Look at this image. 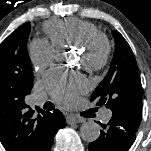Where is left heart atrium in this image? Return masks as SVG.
Wrapping results in <instances>:
<instances>
[{
    "instance_id": "1",
    "label": "left heart atrium",
    "mask_w": 151,
    "mask_h": 151,
    "mask_svg": "<svg viewBox=\"0 0 151 151\" xmlns=\"http://www.w3.org/2000/svg\"><path fill=\"white\" fill-rule=\"evenodd\" d=\"M43 85L51 96L62 105L71 104L75 98L86 91V79L76 73L51 71L43 79Z\"/></svg>"
}]
</instances>
